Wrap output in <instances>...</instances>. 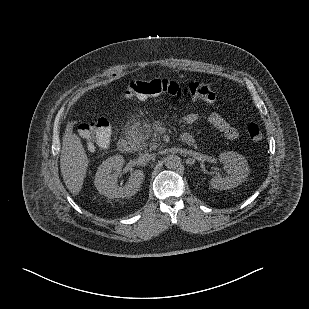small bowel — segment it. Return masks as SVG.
<instances>
[{
  "label": "small bowel",
  "mask_w": 309,
  "mask_h": 309,
  "mask_svg": "<svg viewBox=\"0 0 309 309\" xmlns=\"http://www.w3.org/2000/svg\"><path fill=\"white\" fill-rule=\"evenodd\" d=\"M198 120L196 113H189L185 117L187 124H194ZM208 122L211 126L221 132L227 139L234 140L238 137V130L232 126L224 117L218 113H211L208 116ZM186 135H190L186 133Z\"/></svg>",
  "instance_id": "small-bowel-1"
}]
</instances>
